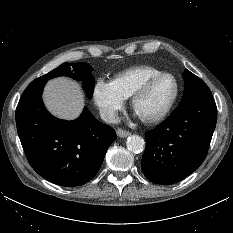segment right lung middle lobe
<instances>
[{"instance_id": "obj_1", "label": "right lung middle lobe", "mask_w": 233, "mask_h": 233, "mask_svg": "<svg viewBox=\"0 0 233 233\" xmlns=\"http://www.w3.org/2000/svg\"><path fill=\"white\" fill-rule=\"evenodd\" d=\"M93 68L88 63H64L38 78V80H49L58 76H68L75 80H82L84 89L89 98L92 97L94 90V77L92 76Z\"/></svg>"}]
</instances>
